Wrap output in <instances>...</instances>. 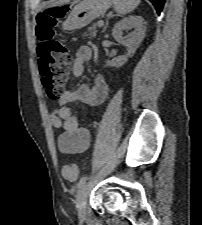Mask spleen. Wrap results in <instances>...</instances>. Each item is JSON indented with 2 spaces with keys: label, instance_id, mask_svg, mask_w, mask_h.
<instances>
[{
  "label": "spleen",
  "instance_id": "spleen-1",
  "mask_svg": "<svg viewBox=\"0 0 202 225\" xmlns=\"http://www.w3.org/2000/svg\"><path fill=\"white\" fill-rule=\"evenodd\" d=\"M141 0H113L114 8L119 16L132 12Z\"/></svg>",
  "mask_w": 202,
  "mask_h": 225
}]
</instances>
